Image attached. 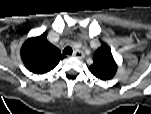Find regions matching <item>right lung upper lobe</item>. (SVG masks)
Here are the masks:
<instances>
[{
	"instance_id": "cb5924a9",
	"label": "right lung upper lobe",
	"mask_w": 151,
	"mask_h": 114,
	"mask_svg": "<svg viewBox=\"0 0 151 114\" xmlns=\"http://www.w3.org/2000/svg\"><path fill=\"white\" fill-rule=\"evenodd\" d=\"M20 53L25 67L35 74L49 72L64 58L61 51L48 42L45 33L27 39Z\"/></svg>"
}]
</instances>
